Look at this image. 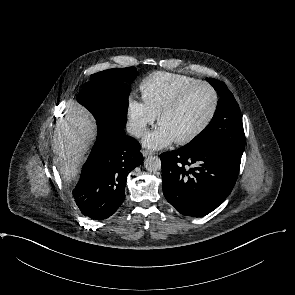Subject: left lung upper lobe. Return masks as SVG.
<instances>
[{
  "mask_svg": "<svg viewBox=\"0 0 295 295\" xmlns=\"http://www.w3.org/2000/svg\"><path fill=\"white\" fill-rule=\"evenodd\" d=\"M207 80L220 96L216 112L209 125L182 148L198 150L217 147L241 156L245 147V134L240 108L223 82L212 78Z\"/></svg>",
  "mask_w": 295,
  "mask_h": 295,
  "instance_id": "left-lung-upper-lobe-1",
  "label": "left lung upper lobe"
}]
</instances>
